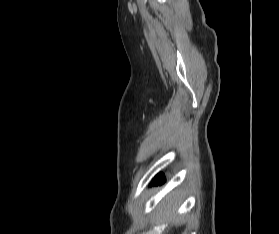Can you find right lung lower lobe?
<instances>
[{
    "mask_svg": "<svg viewBox=\"0 0 279 234\" xmlns=\"http://www.w3.org/2000/svg\"><path fill=\"white\" fill-rule=\"evenodd\" d=\"M165 181V178H164V174L163 173H159L158 175L155 176L154 178V184H161Z\"/></svg>",
    "mask_w": 279,
    "mask_h": 234,
    "instance_id": "obj_1",
    "label": "right lung lower lobe"
}]
</instances>
